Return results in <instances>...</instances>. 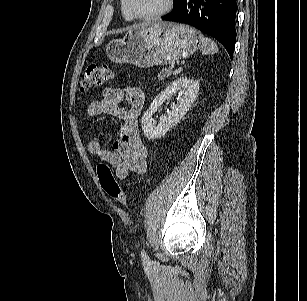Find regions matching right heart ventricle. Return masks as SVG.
<instances>
[{
    "label": "right heart ventricle",
    "instance_id": "right-heart-ventricle-1",
    "mask_svg": "<svg viewBox=\"0 0 307 301\" xmlns=\"http://www.w3.org/2000/svg\"><path fill=\"white\" fill-rule=\"evenodd\" d=\"M121 11H122V15L123 17L127 20V21H132L134 20L133 16L131 15L127 4H126V0H121Z\"/></svg>",
    "mask_w": 307,
    "mask_h": 301
}]
</instances>
